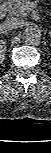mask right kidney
I'll return each instance as SVG.
<instances>
[{
  "label": "right kidney",
  "instance_id": "ca27d5eb",
  "mask_svg": "<svg viewBox=\"0 0 51 153\" xmlns=\"http://www.w3.org/2000/svg\"><path fill=\"white\" fill-rule=\"evenodd\" d=\"M5 51H6V47L3 43H1L0 45V60L3 61L5 58Z\"/></svg>",
  "mask_w": 51,
  "mask_h": 153
}]
</instances>
